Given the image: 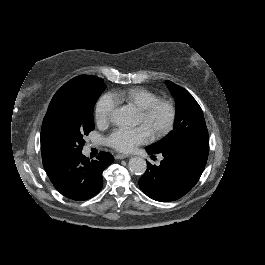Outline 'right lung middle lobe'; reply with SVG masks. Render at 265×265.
I'll use <instances>...</instances> for the list:
<instances>
[{
  "mask_svg": "<svg viewBox=\"0 0 265 265\" xmlns=\"http://www.w3.org/2000/svg\"><path fill=\"white\" fill-rule=\"evenodd\" d=\"M105 88L103 79L81 75L56 92L42 124V160L55 163L82 152L83 137L94 129L93 107Z\"/></svg>",
  "mask_w": 265,
  "mask_h": 265,
  "instance_id": "right-lung-middle-lobe-1",
  "label": "right lung middle lobe"
}]
</instances>
